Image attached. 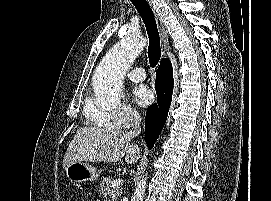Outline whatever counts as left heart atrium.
Masks as SVG:
<instances>
[{"label": "left heart atrium", "instance_id": "39dd6f15", "mask_svg": "<svg viewBox=\"0 0 271 201\" xmlns=\"http://www.w3.org/2000/svg\"><path fill=\"white\" fill-rule=\"evenodd\" d=\"M133 98L138 105L146 107L154 101V93L148 86L138 85L133 89Z\"/></svg>", "mask_w": 271, "mask_h": 201}]
</instances>
